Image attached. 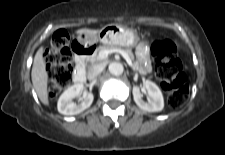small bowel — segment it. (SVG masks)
Segmentation results:
<instances>
[{"label":"small bowel","mask_w":225,"mask_h":155,"mask_svg":"<svg viewBox=\"0 0 225 155\" xmlns=\"http://www.w3.org/2000/svg\"><path fill=\"white\" fill-rule=\"evenodd\" d=\"M137 67L142 73H147L151 69V63L148 56L147 48L140 45L136 51Z\"/></svg>","instance_id":"small-bowel-1"}]
</instances>
